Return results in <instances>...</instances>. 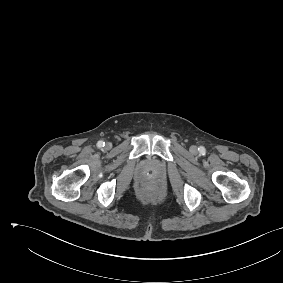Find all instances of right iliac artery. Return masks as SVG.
Returning a JSON list of instances; mask_svg holds the SVG:
<instances>
[{"instance_id": "82829eb1", "label": "right iliac artery", "mask_w": 283, "mask_h": 283, "mask_svg": "<svg viewBox=\"0 0 283 283\" xmlns=\"http://www.w3.org/2000/svg\"><path fill=\"white\" fill-rule=\"evenodd\" d=\"M105 145V143L103 141H98L97 146L99 148L103 147Z\"/></svg>"}]
</instances>
